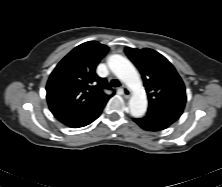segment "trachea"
Listing matches in <instances>:
<instances>
[{"mask_svg":"<svg viewBox=\"0 0 222 187\" xmlns=\"http://www.w3.org/2000/svg\"><path fill=\"white\" fill-rule=\"evenodd\" d=\"M110 85H111V87H119V86H121V83L119 82V80L113 79V80H111Z\"/></svg>","mask_w":222,"mask_h":187,"instance_id":"trachea-1","label":"trachea"}]
</instances>
